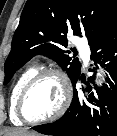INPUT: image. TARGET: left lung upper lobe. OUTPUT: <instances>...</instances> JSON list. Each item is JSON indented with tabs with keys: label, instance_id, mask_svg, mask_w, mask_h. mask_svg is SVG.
I'll return each mask as SVG.
<instances>
[{
	"label": "left lung upper lobe",
	"instance_id": "1",
	"mask_svg": "<svg viewBox=\"0 0 117 136\" xmlns=\"http://www.w3.org/2000/svg\"><path fill=\"white\" fill-rule=\"evenodd\" d=\"M117 19V0H27L4 64L6 85L36 54L55 60L73 82L81 64L65 50L67 33L96 42Z\"/></svg>",
	"mask_w": 117,
	"mask_h": 136
}]
</instances>
